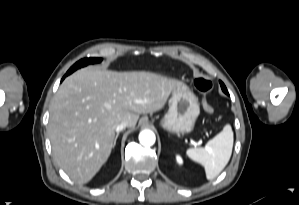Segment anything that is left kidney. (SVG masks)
<instances>
[{
	"mask_svg": "<svg viewBox=\"0 0 299 205\" xmlns=\"http://www.w3.org/2000/svg\"><path fill=\"white\" fill-rule=\"evenodd\" d=\"M176 160L179 164H182L183 163V159L181 158V156L177 155L176 156Z\"/></svg>",
	"mask_w": 299,
	"mask_h": 205,
	"instance_id": "obj_1",
	"label": "left kidney"
}]
</instances>
